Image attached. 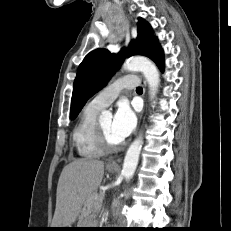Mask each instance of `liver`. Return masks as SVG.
<instances>
[{"instance_id": "1", "label": "liver", "mask_w": 231, "mask_h": 231, "mask_svg": "<svg viewBox=\"0 0 231 231\" xmlns=\"http://www.w3.org/2000/svg\"><path fill=\"white\" fill-rule=\"evenodd\" d=\"M104 175V162L80 158L65 166L59 177L56 208L52 228L70 227L80 214L87 218V201L100 186Z\"/></svg>"}]
</instances>
